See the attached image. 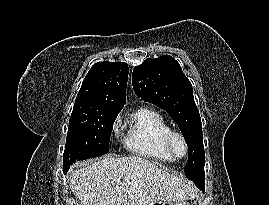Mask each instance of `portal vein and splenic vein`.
I'll use <instances>...</instances> for the list:
<instances>
[{
    "mask_svg": "<svg viewBox=\"0 0 269 205\" xmlns=\"http://www.w3.org/2000/svg\"><path fill=\"white\" fill-rule=\"evenodd\" d=\"M117 184H121V182L120 181H117Z\"/></svg>",
    "mask_w": 269,
    "mask_h": 205,
    "instance_id": "obj_1",
    "label": "portal vein and splenic vein"
}]
</instances>
